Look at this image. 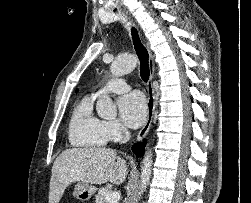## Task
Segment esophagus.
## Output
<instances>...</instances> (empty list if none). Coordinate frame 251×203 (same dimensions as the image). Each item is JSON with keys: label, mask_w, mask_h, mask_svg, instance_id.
<instances>
[{"label": "esophagus", "mask_w": 251, "mask_h": 203, "mask_svg": "<svg viewBox=\"0 0 251 203\" xmlns=\"http://www.w3.org/2000/svg\"><path fill=\"white\" fill-rule=\"evenodd\" d=\"M148 53H149L150 76H149V81L147 84V92H148L147 119H146L143 127L141 128V130L137 134V137H136L137 141L142 140L146 136L147 132L149 131L151 124H152L154 110H155V95H154V89H153V83H152L153 78H154V74H155V64H154L153 56H152V53H151V50L149 49V47H148Z\"/></svg>", "instance_id": "obj_1"}]
</instances>
